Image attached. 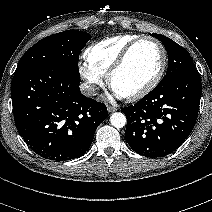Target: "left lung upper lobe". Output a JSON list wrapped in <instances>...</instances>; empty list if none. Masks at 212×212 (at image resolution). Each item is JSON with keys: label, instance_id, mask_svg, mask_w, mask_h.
Here are the masks:
<instances>
[{"label": "left lung upper lobe", "instance_id": "1", "mask_svg": "<svg viewBox=\"0 0 212 212\" xmlns=\"http://www.w3.org/2000/svg\"><path fill=\"white\" fill-rule=\"evenodd\" d=\"M160 40L168 53L169 65L166 75L157 86H163L187 73L196 71L189 53L179 44L160 34H151Z\"/></svg>", "mask_w": 212, "mask_h": 212}]
</instances>
